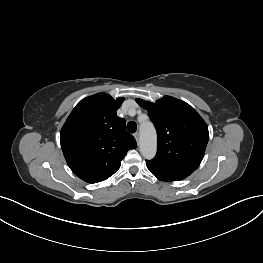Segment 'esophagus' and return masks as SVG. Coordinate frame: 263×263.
Returning a JSON list of instances; mask_svg holds the SVG:
<instances>
[{
  "label": "esophagus",
  "instance_id": "34e87169",
  "mask_svg": "<svg viewBox=\"0 0 263 263\" xmlns=\"http://www.w3.org/2000/svg\"><path fill=\"white\" fill-rule=\"evenodd\" d=\"M134 137H135V139H136V141H137V143H138V142H139V133L136 132V133L134 134Z\"/></svg>",
  "mask_w": 263,
  "mask_h": 263
}]
</instances>
